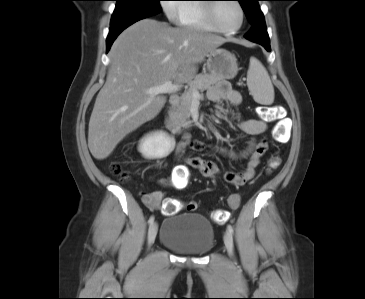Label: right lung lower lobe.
Here are the masks:
<instances>
[{"label":"right lung lower lobe","mask_w":365,"mask_h":299,"mask_svg":"<svg viewBox=\"0 0 365 299\" xmlns=\"http://www.w3.org/2000/svg\"><path fill=\"white\" fill-rule=\"evenodd\" d=\"M152 15H143V16H129L123 19H119V20H115V21H111V27H110V32L109 35L107 37V52L109 51L111 45L113 44V42L115 41V39L118 37V35L124 30L126 29L128 26L132 25L133 23L150 17Z\"/></svg>","instance_id":"obj_1"}]
</instances>
